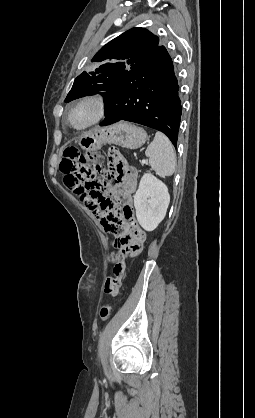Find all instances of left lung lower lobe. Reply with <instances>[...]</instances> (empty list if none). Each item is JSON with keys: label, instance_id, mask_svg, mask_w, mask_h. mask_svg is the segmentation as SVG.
<instances>
[{"label": "left lung lower lobe", "instance_id": "1", "mask_svg": "<svg viewBox=\"0 0 255 418\" xmlns=\"http://www.w3.org/2000/svg\"><path fill=\"white\" fill-rule=\"evenodd\" d=\"M104 100L101 126L135 122L163 132L176 146L182 107L177 75L164 46L131 69Z\"/></svg>", "mask_w": 255, "mask_h": 418}]
</instances>
